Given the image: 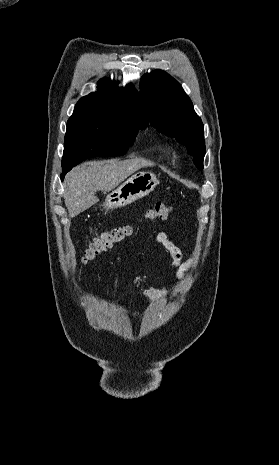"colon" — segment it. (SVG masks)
I'll use <instances>...</instances> for the list:
<instances>
[{"mask_svg": "<svg viewBox=\"0 0 279 465\" xmlns=\"http://www.w3.org/2000/svg\"><path fill=\"white\" fill-rule=\"evenodd\" d=\"M171 207L165 203L158 202L152 208L148 209L144 218L149 221L164 220L168 217ZM133 233V227L130 225H122L115 227L109 231L102 232L93 239L88 248L84 252L83 261L89 262L100 256L113 245L118 244Z\"/></svg>", "mask_w": 279, "mask_h": 465, "instance_id": "colon-1", "label": "colon"}]
</instances>
